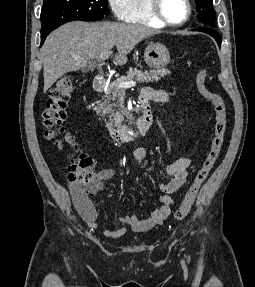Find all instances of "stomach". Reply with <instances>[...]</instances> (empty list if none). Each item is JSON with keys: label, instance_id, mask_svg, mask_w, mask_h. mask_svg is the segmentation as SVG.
<instances>
[{"label": "stomach", "instance_id": "1", "mask_svg": "<svg viewBox=\"0 0 255 287\" xmlns=\"http://www.w3.org/2000/svg\"><path fill=\"white\" fill-rule=\"evenodd\" d=\"M144 60L147 66L158 70V68H164L170 62L169 50H167L164 44L159 42H149L144 52Z\"/></svg>", "mask_w": 255, "mask_h": 287}]
</instances>
